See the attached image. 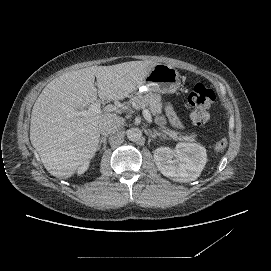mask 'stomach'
<instances>
[{"instance_id": "0dacf381", "label": "stomach", "mask_w": 271, "mask_h": 271, "mask_svg": "<svg viewBox=\"0 0 271 271\" xmlns=\"http://www.w3.org/2000/svg\"><path fill=\"white\" fill-rule=\"evenodd\" d=\"M179 72L169 64L157 63L137 86L139 92L175 93L180 87Z\"/></svg>"}]
</instances>
